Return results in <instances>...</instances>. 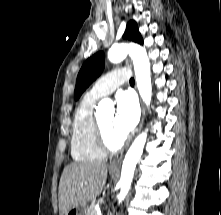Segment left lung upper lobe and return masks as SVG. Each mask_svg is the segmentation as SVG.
<instances>
[{"label": "left lung upper lobe", "instance_id": "left-lung-upper-lobe-1", "mask_svg": "<svg viewBox=\"0 0 221 215\" xmlns=\"http://www.w3.org/2000/svg\"><path fill=\"white\" fill-rule=\"evenodd\" d=\"M124 38L131 41L143 44V39L138 31V27L135 21L131 20L126 27ZM104 69V53L98 52L87 61L81 67V70L77 76L76 87L74 92L75 99H79L83 92L89 87V85L102 73Z\"/></svg>", "mask_w": 221, "mask_h": 215}]
</instances>
